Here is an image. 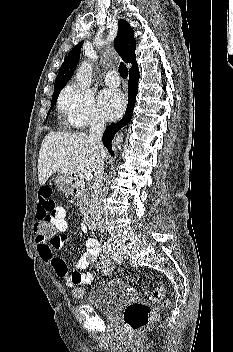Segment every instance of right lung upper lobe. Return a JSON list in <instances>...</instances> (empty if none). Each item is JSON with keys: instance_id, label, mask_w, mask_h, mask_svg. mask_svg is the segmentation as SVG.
Returning <instances> with one entry per match:
<instances>
[{"instance_id": "1", "label": "right lung upper lobe", "mask_w": 233, "mask_h": 352, "mask_svg": "<svg viewBox=\"0 0 233 352\" xmlns=\"http://www.w3.org/2000/svg\"><path fill=\"white\" fill-rule=\"evenodd\" d=\"M83 42L78 43L65 57L64 62L59 70L58 76L54 84V90L63 88L71 79L74 70L79 62L81 46ZM118 54L126 63H131L130 73L138 71L136 61L135 48L136 41L134 39L133 30L129 23L125 20L118 21V34L114 41Z\"/></svg>"}]
</instances>
